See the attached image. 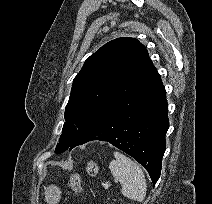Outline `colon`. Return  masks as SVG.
<instances>
[{"label":"colon","instance_id":"1","mask_svg":"<svg viewBox=\"0 0 212 204\" xmlns=\"http://www.w3.org/2000/svg\"><path fill=\"white\" fill-rule=\"evenodd\" d=\"M86 172L91 177H96L98 173V166L95 161H88L85 165ZM70 186L76 193L82 192L81 175L79 172H75L70 176Z\"/></svg>","mask_w":212,"mask_h":204}]
</instances>
